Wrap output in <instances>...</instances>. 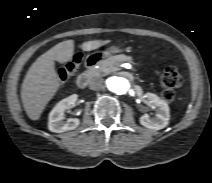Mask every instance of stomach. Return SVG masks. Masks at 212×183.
Wrapping results in <instances>:
<instances>
[{
	"instance_id": "0dacf381",
	"label": "stomach",
	"mask_w": 212,
	"mask_h": 183,
	"mask_svg": "<svg viewBox=\"0 0 212 183\" xmlns=\"http://www.w3.org/2000/svg\"><path fill=\"white\" fill-rule=\"evenodd\" d=\"M122 49L118 46H112L110 49L105 51L106 55L114 54V53H119Z\"/></svg>"
}]
</instances>
